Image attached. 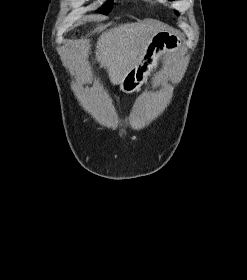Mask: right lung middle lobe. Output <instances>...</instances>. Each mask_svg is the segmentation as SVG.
<instances>
[{
    "mask_svg": "<svg viewBox=\"0 0 247 280\" xmlns=\"http://www.w3.org/2000/svg\"><path fill=\"white\" fill-rule=\"evenodd\" d=\"M111 2H108L106 3L103 8L101 10H99L100 13H103V14H108L111 10Z\"/></svg>",
    "mask_w": 247,
    "mask_h": 280,
    "instance_id": "dd1d6c3e",
    "label": "right lung middle lobe"
}]
</instances>
